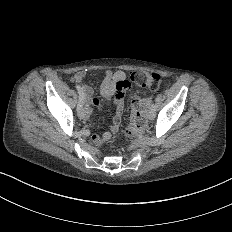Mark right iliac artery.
<instances>
[{
	"label": "right iliac artery",
	"instance_id": "82829eb1",
	"mask_svg": "<svg viewBox=\"0 0 232 232\" xmlns=\"http://www.w3.org/2000/svg\"><path fill=\"white\" fill-rule=\"evenodd\" d=\"M76 90L78 91L80 97H79V102L77 104V109H80L83 105V90L79 85H75Z\"/></svg>",
	"mask_w": 232,
	"mask_h": 232
}]
</instances>
